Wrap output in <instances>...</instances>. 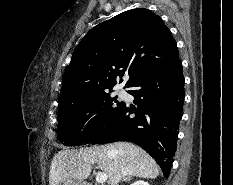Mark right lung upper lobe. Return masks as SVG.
I'll use <instances>...</instances> for the list:
<instances>
[{"instance_id": "cb5924a9", "label": "right lung upper lobe", "mask_w": 233, "mask_h": 185, "mask_svg": "<svg viewBox=\"0 0 233 185\" xmlns=\"http://www.w3.org/2000/svg\"><path fill=\"white\" fill-rule=\"evenodd\" d=\"M178 59L170 30L152 11H125L92 28L75 48L62 82L60 107L111 90L128 76L129 87L143 74Z\"/></svg>"}]
</instances>
